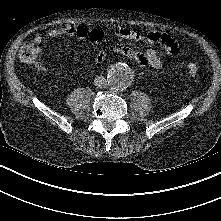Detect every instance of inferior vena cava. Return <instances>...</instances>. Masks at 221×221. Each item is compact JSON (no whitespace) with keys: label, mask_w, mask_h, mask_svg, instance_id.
I'll list each match as a JSON object with an SVG mask.
<instances>
[{"label":"inferior vena cava","mask_w":221,"mask_h":221,"mask_svg":"<svg viewBox=\"0 0 221 221\" xmlns=\"http://www.w3.org/2000/svg\"><path fill=\"white\" fill-rule=\"evenodd\" d=\"M94 84L98 88H106L108 86L107 80L104 76H97L94 80Z\"/></svg>","instance_id":"inferior-vena-cava-1"}]
</instances>
